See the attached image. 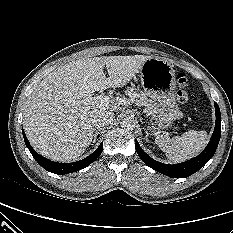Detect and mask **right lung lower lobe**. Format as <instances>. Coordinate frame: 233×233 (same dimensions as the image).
<instances>
[{"label": "right lung lower lobe", "mask_w": 233, "mask_h": 233, "mask_svg": "<svg viewBox=\"0 0 233 233\" xmlns=\"http://www.w3.org/2000/svg\"><path fill=\"white\" fill-rule=\"evenodd\" d=\"M22 132H23L25 144H26L27 148L29 149V151L31 152L34 159L45 170L52 172V173H55V174H68L71 172L81 170V169L87 167L88 165H90L92 162H94L101 155L102 150H103V142H102L94 153H92L91 155H89L88 157H86L83 160L73 162V163H56V162L48 160V159L44 158L43 156L37 154L33 150V148L31 147V145L29 144L23 129H22Z\"/></svg>", "instance_id": "obj_1"}]
</instances>
